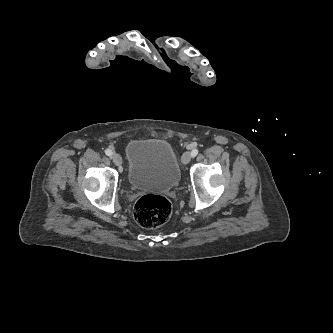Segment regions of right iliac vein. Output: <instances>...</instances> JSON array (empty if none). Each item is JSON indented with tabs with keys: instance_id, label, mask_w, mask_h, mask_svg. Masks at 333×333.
Here are the masks:
<instances>
[{
	"instance_id": "obj_1",
	"label": "right iliac vein",
	"mask_w": 333,
	"mask_h": 333,
	"mask_svg": "<svg viewBox=\"0 0 333 333\" xmlns=\"http://www.w3.org/2000/svg\"><path fill=\"white\" fill-rule=\"evenodd\" d=\"M111 159L113 160L114 164L117 166H120L122 164V158L119 154L114 153L111 156Z\"/></svg>"
}]
</instances>
